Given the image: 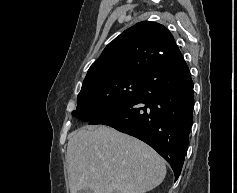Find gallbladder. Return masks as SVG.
<instances>
[{"instance_id":"1","label":"gallbladder","mask_w":237,"mask_h":193,"mask_svg":"<svg viewBox=\"0 0 237 193\" xmlns=\"http://www.w3.org/2000/svg\"><path fill=\"white\" fill-rule=\"evenodd\" d=\"M78 193H93V191L87 188V189L80 190ZM114 193H118V192L115 191Z\"/></svg>"}]
</instances>
